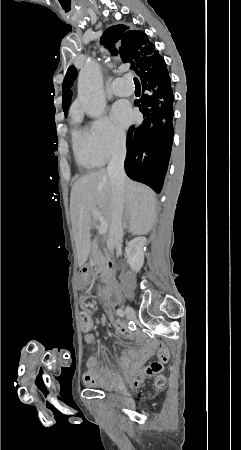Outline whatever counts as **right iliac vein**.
<instances>
[{"label":"right iliac vein","instance_id":"1","mask_svg":"<svg viewBox=\"0 0 241 450\" xmlns=\"http://www.w3.org/2000/svg\"><path fill=\"white\" fill-rule=\"evenodd\" d=\"M125 312L129 320H133L135 318V312L132 307L127 306Z\"/></svg>","mask_w":241,"mask_h":450}]
</instances>
